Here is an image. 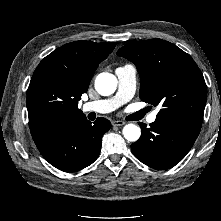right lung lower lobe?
Masks as SVG:
<instances>
[{"label":"right lung lower lobe","instance_id":"obj_1","mask_svg":"<svg viewBox=\"0 0 221 221\" xmlns=\"http://www.w3.org/2000/svg\"><path fill=\"white\" fill-rule=\"evenodd\" d=\"M111 123L105 118L68 121L33 138L42 156L64 172L79 171L92 164L101 149L104 133Z\"/></svg>","mask_w":221,"mask_h":221}]
</instances>
